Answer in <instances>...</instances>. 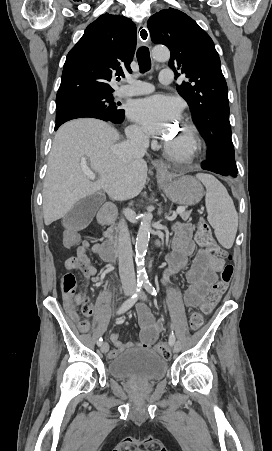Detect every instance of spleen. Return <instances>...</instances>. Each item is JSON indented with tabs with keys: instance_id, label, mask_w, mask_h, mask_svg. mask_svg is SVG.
Wrapping results in <instances>:
<instances>
[{
	"instance_id": "3e777b00",
	"label": "spleen",
	"mask_w": 272,
	"mask_h": 451,
	"mask_svg": "<svg viewBox=\"0 0 272 451\" xmlns=\"http://www.w3.org/2000/svg\"><path fill=\"white\" fill-rule=\"evenodd\" d=\"M196 178L206 188L207 220L210 226L214 227L219 243L226 249H230L238 227V214L233 200L223 184L211 174H196Z\"/></svg>"
}]
</instances>
